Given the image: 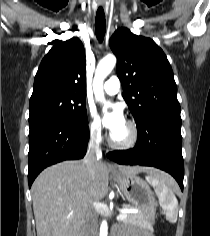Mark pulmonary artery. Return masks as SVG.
<instances>
[{
    "mask_svg": "<svg viewBox=\"0 0 210 236\" xmlns=\"http://www.w3.org/2000/svg\"><path fill=\"white\" fill-rule=\"evenodd\" d=\"M120 89V81L116 76L111 77L105 84L103 85V91L107 94L114 95Z\"/></svg>",
    "mask_w": 210,
    "mask_h": 236,
    "instance_id": "1",
    "label": "pulmonary artery"
}]
</instances>
